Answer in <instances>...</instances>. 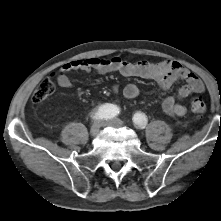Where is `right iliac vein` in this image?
Returning a JSON list of instances; mask_svg holds the SVG:
<instances>
[{
	"instance_id": "right-iliac-vein-1",
	"label": "right iliac vein",
	"mask_w": 221,
	"mask_h": 221,
	"mask_svg": "<svg viewBox=\"0 0 221 221\" xmlns=\"http://www.w3.org/2000/svg\"><path fill=\"white\" fill-rule=\"evenodd\" d=\"M103 122H95L90 129L91 136L95 137L99 134Z\"/></svg>"
}]
</instances>
